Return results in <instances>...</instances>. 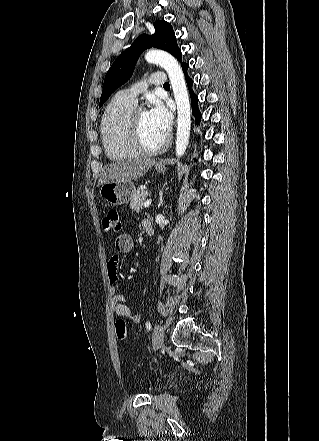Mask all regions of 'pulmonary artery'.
I'll use <instances>...</instances> for the list:
<instances>
[{
  "label": "pulmonary artery",
  "mask_w": 319,
  "mask_h": 441,
  "mask_svg": "<svg viewBox=\"0 0 319 441\" xmlns=\"http://www.w3.org/2000/svg\"><path fill=\"white\" fill-rule=\"evenodd\" d=\"M165 83H166V77L164 73L162 72L153 73L149 76L147 80L137 83L136 85L132 86L129 89H125L121 91L120 95L123 96L125 99L133 103H136L137 96L140 93L144 92L149 85L164 86Z\"/></svg>",
  "instance_id": "e3ab8cb5"
}]
</instances>
